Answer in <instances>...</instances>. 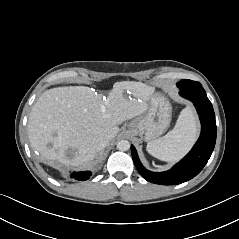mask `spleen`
I'll list each match as a JSON object with an SVG mask.
<instances>
[{"label":"spleen","instance_id":"obj_1","mask_svg":"<svg viewBox=\"0 0 239 239\" xmlns=\"http://www.w3.org/2000/svg\"><path fill=\"white\" fill-rule=\"evenodd\" d=\"M197 127L194 111L187 106L181 111L171 131L157 140L148 142L147 152L162 161H178L194 144L198 133Z\"/></svg>","mask_w":239,"mask_h":239}]
</instances>
